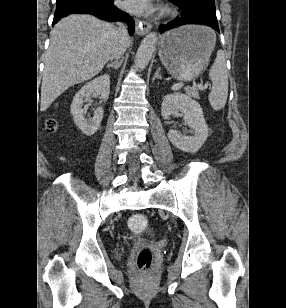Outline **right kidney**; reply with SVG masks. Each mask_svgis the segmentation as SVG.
Wrapping results in <instances>:
<instances>
[{
    "label": "right kidney",
    "instance_id": "right-kidney-1",
    "mask_svg": "<svg viewBox=\"0 0 286 308\" xmlns=\"http://www.w3.org/2000/svg\"><path fill=\"white\" fill-rule=\"evenodd\" d=\"M95 92L99 93L104 101L108 100L110 94L109 75L104 74L88 82L73 98L70 109L74 123L86 136L93 135L99 129L103 119L104 110L102 107H98L94 111L92 118L85 116L88 105H85L83 108V103L90 99V96Z\"/></svg>",
    "mask_w": 286,
    "mask_h": 308
}]
</instances>
